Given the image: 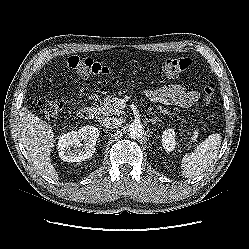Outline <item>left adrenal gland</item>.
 I'll return each instance as SVG.
<instances>
[{"mask_svg":"<svg viewBox=\"0 0 249 249\" xmlns=\"http://www.w3.org/2000/svg\"><path fill=\"white\" fill-rule=\"evenodd\" d=\"M151 123L152 125H154L156 122H162L159 118L155 117V118H152L151 120Z\"/></svg>","mask_w":249,"mask_h":249,"instance_id":"1","label":"left adrenal gland"}]
</instances>
